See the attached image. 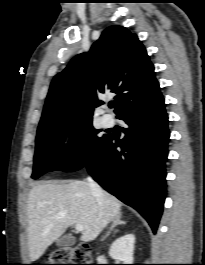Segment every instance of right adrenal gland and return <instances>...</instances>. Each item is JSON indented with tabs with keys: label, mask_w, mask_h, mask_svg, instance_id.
Wrapping results in <instances>:
<instances>
[{
	"label": "right adrenal gland",
	"mask_w": 205,
	"mask_h": 265,
	"mask_svg": "<svg viewBox=\"0 0 205 265\" xmlns=\"http://www.w3.org/2000/svg\"><path fill=\"white\" fill-rule=\"evenodd\" d=\"M125 224H126V222L121 220V215L114 217L111 227L109 228L108 232L105 234V236H103V238L101 240L104 241L110 235L111 231H113V229L116 226L125 225Z\"/></svg>",
	"instance_id": "2a0ac1e0"
}]
</instances>
